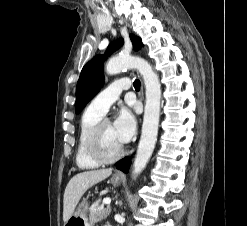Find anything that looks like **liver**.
<instances>
[{
    "label": "liver",
    "instance_id": "6515ba94",
    "mask_svg": "<svg viewBox=\"0 0 247 226\" xmlns=\"http://www.w3.org/2000/svg\"><path fill=\"white\" fill-rule=\"evenodd\" d=\"M112 169L84 171L71 178L66 186L63 199V221L66 223L82 197V195L96 183L106 179Z\"/></svg>",
    "mask_w": 247,
    "mask_h": 226
}]
</instances>
